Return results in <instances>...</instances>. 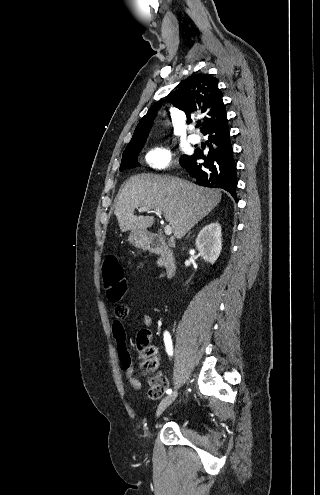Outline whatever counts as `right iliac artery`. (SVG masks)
<instances>
[{
  "mask_svg": "<svg viewBox=\"0 0 320 495\" xmlns=\"http://www.w3.org/2000/svg\"><path fill=\"white\" fill-rule=\"evenodd\" d=\"M164 343H165V347H166V351H167L168 355L171 356L173 354L172 340H171V336H170L168 331L164 332ZM166 393L171 394L172 390L168 389L166 391Z\"/></svg>",
  "mask_w": 320,
  "mask_h": 495,
  "instance_id": "right-iliac-artery-1",
  "label": "right iliac artery"
}]
</instances>
